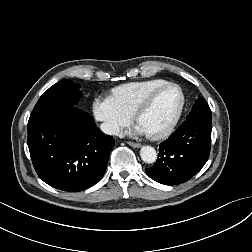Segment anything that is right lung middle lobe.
<instances>
[{"label": "right lung middle lobe", "mask_w": 252, "mask_h": 252, "mask_svg": "<svg viewBox=\"0 0 252 252\" xmlns=\"http://www.w3.org/2000/svg\"><path fill=\"white\" fill-rule=\"evenodd\" d=\"M79 85L71 80H61L45 91L36 103L29 119L39 117L51 110L76 106L82 96Z\"/></svg>", "instance_id": "obj_1"}]
</instances>
